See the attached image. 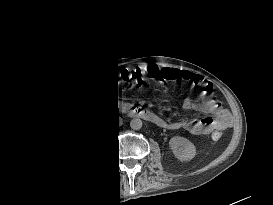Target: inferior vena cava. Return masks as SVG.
I'll use <instances>...</instances> for the list:
<instances>
[{
	"label": "inferior vena cava",
	"mask_w": 273,
	"mask_h": 205,
	"mask_svg": "<svg viewBox=\"0 0 273 205\" xmlns=\"http://www.w3.org/2000/svg\"><path fill=\"white\" fill-rule=\"evenodd\" d=\"M122 125H123V119L119 117V127H121Z\"/></svg>",
	"instance_id": "obj_1"
}]
</instances>
